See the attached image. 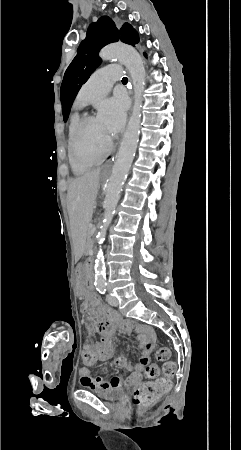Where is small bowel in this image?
<instances>
[{
	"label": "small bowel",
	"instance_id": "obj_1",
	"mask_svg": "<svg viewBox=\"0 0 241 450\" xmlns=\"http://www.w3.org/2000/svg\"><path fill=\"white\" fill-rule=\"evenodd\" d=\"M82 303L80 308L84 311L83 315L88 317L90 315L88 308L94 306V299L84 298ZM88 330L94 331V333H101V341L94 343V347L99 349V354L95 356L96 362L110 360L114 350L113 335L117 331L136 334L139 348L141 349V356L138 364H133L124 354L116 357L115 363L122 365L131 372L128 377L113 376L108 381L100 378L94 379L91 377L89 369L82 368L80 370L82 385L91 390H109L140 384L145 376L144 372L151 361L153 348L156 343L157 336L154 329L148 324H140L134 320H123L111 329H108L107 324L92 323L88 325Z\"/></svg>",
	"mask_w": 241,
	"mask_h": 450
}]
</instances>
